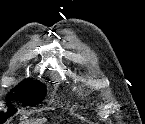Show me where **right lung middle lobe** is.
Returning <instances> with one entry per match:
<instances>
[{"label": "right lung middle lobe", "mask_w": 145, "mask_h": 124, "mask_svg": "<svg viewBox=\"0 0 145 124\" xmlns=\"http://www.w3.org/2000/svg\"><path fill=\"white\" fill-rule=\"evenodd\" d=\"M13 91H15V93L6 97L8 100V112H0V124L5 122L8 117L16 112V109L11 105L10 101L19 100L27 106H34L40 103L46 95L45 86L40 82H34L30 79L20 83L12 90V92Z\"/></svg>", "instance_id": "obj_1"}]
</instances>
